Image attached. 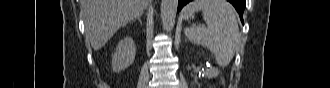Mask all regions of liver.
Returning a JSON list of instances; mask_svg holds the SVG:
<instances>
[{
    "label": "liver",
    "mask_w": 330,
    "mask_h": 88,
    "mask_svg": "<svg viewBox=\"0 0 330 88\" xmlns=\"http://www.w3.org/2000/svg\"><path fill=\"white\" fill-rule=\"evenodd\" d=\"M148 0H81L86 39L101 49L118 29L144 13Z\"/></svg>",
    "instance_id": "liver-1"
}]
</instances>
